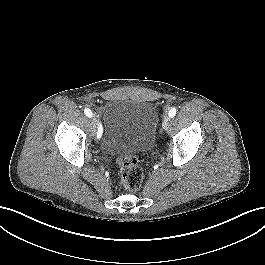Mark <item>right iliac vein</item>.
Returning a JSON list of instances; mask_svg holds the SVG:
<instances>
[{
	"label": "right iliac vein",
	"instance_id": "obj_1",
	"mask_svg": "<svg viewBox=\"0 0 265 265\" xmlns=\"http://www.w3.org/2000/svg\"><path fill=\"white\" fill-rule=\"evenodd\" d=\"M97 125H98V121L97 119L94 117L92 119V132L95 134L97 132Z\"/></svg>",
	"mask_w": 265,
	"mask_h": 265
}]
</instances>
